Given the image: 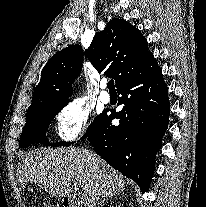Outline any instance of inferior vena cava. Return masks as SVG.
Returning <instances> with one entry per match:
<instances>
[{
  "label": "inferior vena cava",
  "mask_w": 206,
  "mask_h": 207,
  "mask_svg": "<svg viewBox=\"0 0 206 207\" xmlns=\"http://www.w3.org/2000/svg\"><path fill=\"white\" fill-rule=\"evenodd\" d=\"M95 200H98V198H96V199H92V200L88 203V207H95Z\"/></svg>",
  "instance_id": "1"
}]
</instances>
